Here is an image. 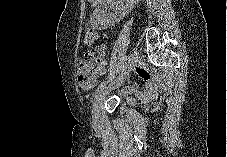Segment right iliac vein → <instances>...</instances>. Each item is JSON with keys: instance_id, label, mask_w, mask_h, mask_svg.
<instances>
[{"instance_id": "63e3f726", "label": "right iliac vein", "mask_w": 227, "mask_h": 157, "mask_svg": "<svg viewBox=\"0 0 227 157\" xmlns=\"http://www.w3.org/2000/svg\"><path fill=\"white\" fill-rule=\"evenodd\" d=\"M138 58V53L134 52L130 59H129V63L128 65H126L125 70H122V72L118 75V77L112 82L110 83L107 87H105L100 94L98 95V97L96 98L94 104H93V122L96 124L99 121L100 118V111H101V106H102V102L105 99V97L108 95V93L116 88H119L126 80V78L128 77L130 70L132 68V66L135 64V62L137 61Z\"/></svg>"}]
</instances>
